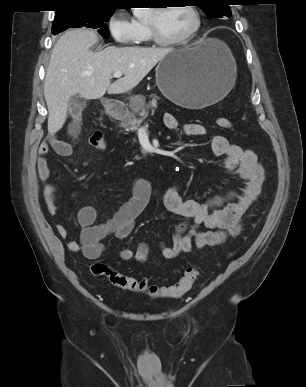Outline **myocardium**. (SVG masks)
I'll list each match as a JSON object with an SVG mask.
<instances>
[{
  "instance_id": "1",
  "label": "myocardium",
  "mask_w": 306,
  "mask_h": 387,
  "mask_svg": "<svg viewBox=\"0 0 306 387\" xmlns=\"http://www.w3.org/2000/svg\"><path fill=\"white\" fill-rule=\"evenodd\" d=\"M183 7H186L193 15L194 25L191 28V30L182 38L173 39V40L164 39L158 31L155 20L151 16H149V18L146 21V25H147L150 40L153 43L162 47H170V46L185 45L194 39V37L199 32L202 25L201 14L197 9V7H195L194 5L187 4ZM167 8H168L167 6L157 7L153 9L151 13H159Z\"/></svg>"
}]
</instances>
